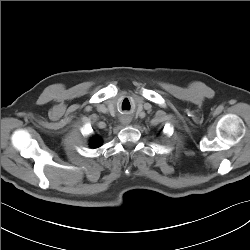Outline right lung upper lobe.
Returning a JSON list of instances; mask_svg holds the SVG:
<instances>
[{
    "label": "right lung upper lobe",
    "instance_id": "cb5924a9",
    "mask_svg": "<svg viewBox=\"0 0 250 250\" xmlns=\"http://www.w3.org/2000/svg\"><path fill=\"white\" fill-rule=\"evenodd\" d=\"M101 145V140L99 138L92 139L91 146L94 148L99 147Z\"/></svg>",
    "mask_w": 250,
    "mask_h": 250
}]
</instances>
